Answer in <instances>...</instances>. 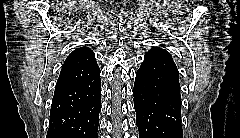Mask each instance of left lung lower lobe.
Segmentation results:
<instances>
[{"instance_id":"left-lung-lower-lobe-1","label":"left lung lower lobe","mask_w":240,"mask_h":138,"mask_svg":"<svg viewBox=\"0 0 240 138\" xmlns=\"http://www.w3.org/2000/svg\"><path fill=\"white\" fill-rule=\"evenodd\" d=\"M133 93L139 138H183L178 69L171 54L159 47L145 54Z\"/></svg>"}]
</instances>
